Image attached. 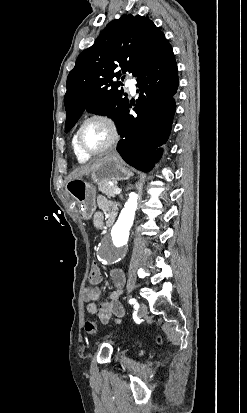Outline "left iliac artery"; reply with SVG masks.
Listing matches in <instances>:
<instances>
[{
	"label": "left iliac artery",
	"mask_w": 247,
	"mask_h": 413,
	"mask_svg": "<svg viewBox=\"0 0 247 413\" xmlns=\"http://www.w3.org/2000/svg\"><path fill=\"white\" fill-rule=\"evenodd\" d=\"M129 303H130V304H134V305H138L136 299H134V298L130 299V300H129ZM138 306H139V305H138Z\"/></svg>",
	"instance_id": "44dca946"
}]
</instances>
